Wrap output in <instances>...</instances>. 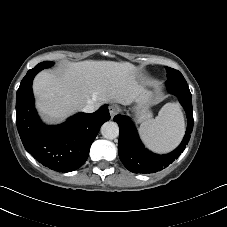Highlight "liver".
Masks as SVG:
<instances>
[{"instance_id": "6515ba94", "label": "liver", "mask_w": 227, "mask_h": 227, "mask_svg": "<svg viewBox=\"0 0 227 227\" xmlns=\"http://www.w3.org/2000/svg\"><path fill=\"white\" fill-rule=\"evenodd\" d=\"M136 74L137 67L129 62H69L35 77L36 107L44 121L59 123L89 103L97 108L105 102L128 105L143 91Z\"/></svg>"}]
</instances>
